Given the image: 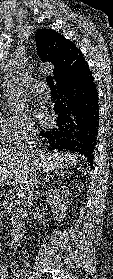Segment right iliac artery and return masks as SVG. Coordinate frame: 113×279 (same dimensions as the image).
Here are the masks:
<instances>
[{
	"label": "right iliac artery",
	"instance_id": "1",
	"mask_svg": "<svg viewBox=\"0 0 113 279\" xmlns=\"http://www.w3.org/2000/svg\"><path fill=\"white\" fill-rule=\"evenodd\" d=\"M16 276L18 279H26L29 277V273L27 271H25L24 269H21L18 271Z\"/></svg>",
	"mask_w": 113,
	"mask_h": 279
}]
</instances>
